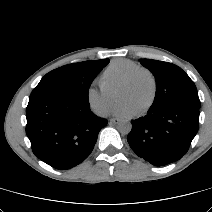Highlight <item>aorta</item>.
<instances>
[{"label": "aorta", "instance_id": "obj_1", "mask_svg": "<svg viewBox=\"0 0 212 212\" xmlns=\"http://www.w3.org/2000/svg\"><path fill=\"white\" fill-rule=\"evenodd\" d=\"M132 129V124L128 121H123L119 123L118 130L121 134H128Z\"/></svg>", "mask_w": 212, "mask_h": 212}]
</instances>
